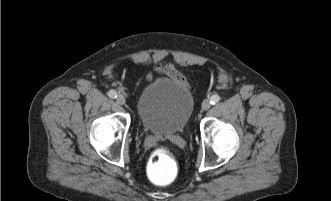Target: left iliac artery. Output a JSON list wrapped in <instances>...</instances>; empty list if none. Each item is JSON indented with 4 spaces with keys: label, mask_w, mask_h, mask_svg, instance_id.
<instances>
[{
    "label": "left iliac artery",
    "mask_w": 331,
    "mask_h": 201,
    "mask_svg": "<svg viewBox=\"0 0 331 201\" xmlns=\"http://www.w3.org/2000/svg\"><path fill=\"white\" fill-rule=\"evenodd\" d=\"M219 100H220L219 95L215 94V95H212V96H211V98H210V103H211L212 105H214V104L218 103Z\"/></svg>",
    "instance_id": "obj_1"
}]
</instances>
